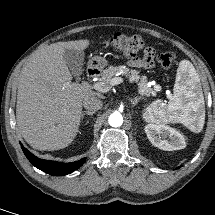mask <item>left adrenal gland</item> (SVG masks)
<instances>
[{
	"mask_svg": "<svg viewBox=\"0 0 215 215\" xmlns=\"http://www.w3.org/2000/svg\"><path fill=\"white\" fill-rule=\"evenodd\" d=\"M142 99V97H135L134 99H130V102L132 104V106H135L138 104L139 100Z\"/></svg>",
	"mask_w": 215,
	"mask_h": 215,
	"instance_id": "left-adrenal-gland-1",
	"label": "left adrenal gland"
}]
</instances>
